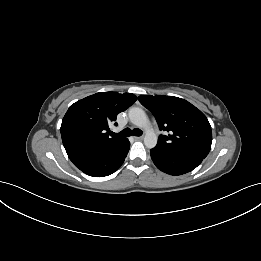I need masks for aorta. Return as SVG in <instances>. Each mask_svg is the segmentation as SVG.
Instances as JSON below:
<instances>
[{
  "instance_id": "obj_1",
  "label": "aorta",
  "mask_w": 261,
  "mask_h": 261,
  "mask_svg": "<svg viewBox=\"0 0 261 261\" xmlns=\"http://www.w3.org/2000/svg\"><path fill=\"white\" fill-rule=\"evenodd\" d=\"M129 119L131 123L145 131L144 144L147 148H154L157 145V136L150 128V123L146 113L138 107L130 108Z\"/></svg>"
}]
</instances>
